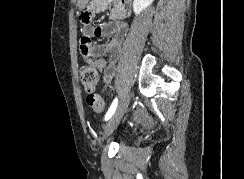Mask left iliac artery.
Here are the masks:
<instances>
[{
  "instance_id": "obj_1",
  "label": "left iliac artery",
  "mask_w": 244,
  "mask_h": 179,
  "mask_svg": "<svg viewBox=\"0 0 244 179\" xmlns=\"http://www.w3.org/2000/svg\"><path fill=\"white\" fill-rule=\"evenodd\" d=\"M117 104H118V99L115 98V100L113 101V103L111 104L109 110L107 111V113L105 115L106 121L109 120L111 118V116L113 115V113L115 112Z\"/></svg>"
}]
</instances>
